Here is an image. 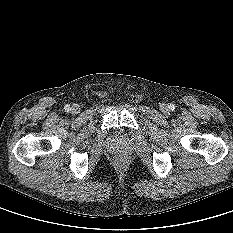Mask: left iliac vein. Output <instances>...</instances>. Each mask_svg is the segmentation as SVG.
Instances as JSON below:
<instances>
[{
    "instance_id": "obj_1",
    "label": "left iliac vein",
    "mask_w": 233,
    "mask_h": 233,
    "mask_svg": "<svg viewBox=\"0 0 233 233\" xmlns=\"http://www.w3.org/2000/svg\"><path fill=\"white\" fill-rule=\"evenodd\" d=\"M160 109L162 112L167 113L168 112V106L166 104H162L160 106Z\"/></svg>"
}]
</instances>
